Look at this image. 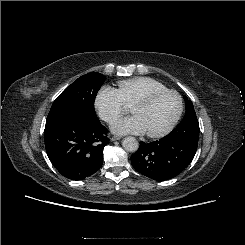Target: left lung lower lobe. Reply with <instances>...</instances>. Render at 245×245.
Instances as JSON below:
<instances>
[{"instance_id": "obj_1", "label": "left lung lower lobe", "mask_w": 245, "mask_h": 245, "mask_svg": "<svg viewBox=\"0 0 245 245\" xmlns=\"http://www.w3.org/2000/svg\"><path fill=\"white\" fill-rule=\"evenodd\" d=\"M196 142L170 141L165 137L152 143L141 142L131 156L135 170L146 177L164 181L179 175L192 161L197 150Z\"/></svg>"}]
</instances>
